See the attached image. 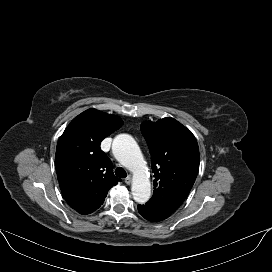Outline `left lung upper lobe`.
<instances>
[{"mask_svg":"<svg viewBox=\"0 0 272 272\" xmlns=\"http://www.w3.org/2000/svg\"><path fill=\"white\" fill-rule=\"evenodd\" d=\"M141 132L151 154L154 192L144 205L168 218L188 196L199 169L196 138L177 120L145 121Z\"/></svg>","mask_w":272,"mask_h":272,"instance_id":"5c2ea615","label":"left lung upper lobe"}]
</instances>
